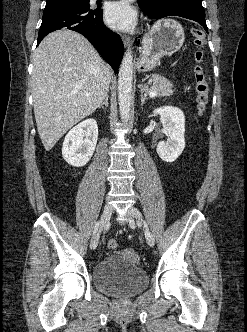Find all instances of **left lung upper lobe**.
<instances>
[{"mask_svg":"<svg viewBox=\"0 0 247 332\" xmlns=\"http://www.w3.org/2000/svg\"><path fill=\"white\" fill-rule=\"evenodd\" d=\"M139 7L147 12H159L171 6L202 7V0H138Z\"/></svg>","mask_w":247,"mask_h":332,"instance_id":"obj_1","label":"left lung upper lobe"}]
</instances>
